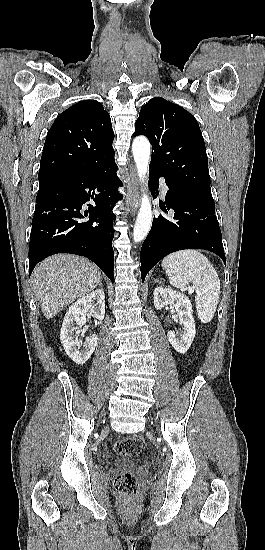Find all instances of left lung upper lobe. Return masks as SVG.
<instances>
[{"label": "left lung upper lobe", "mask_w": 265, "mask_h": 550, "mask_svg": "<svg viewBox=\"0 0 265 550\" xmlns=\"http://www.w3.org/2000/svg\"><path fill=\"white\" fill-rule=\"evenodd\" d=\"M137 135L150 140V168L167 184L215 204L204 139L192 114L163 98H152L140 110L134 132Z\"/></svg>", "instance_id": "5c2ea615"}]
</instances>
